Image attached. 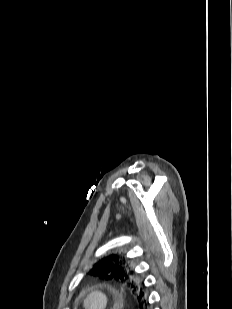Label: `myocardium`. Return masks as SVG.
Returning <instances> with one entry per match:
<instances>
[{"instance_id": "f54148a6", "label": "myocardium", "mask_w": 232, "mask_h": 309, "mask_svg": "<svg viewBox=\"0 0 232 309\" xmlns=\"http://www.w3.org/2000/svg\"><path fill=\"white\" fill-rule=\"evenodd\" d=\"M93 297H97L100 300V306L99 309H108L110 304V298L107 292H105L103 289L94 287L87 291V293L84 296L83 299V308L89 309V300Z\"/></svg>"}]
</instances>
